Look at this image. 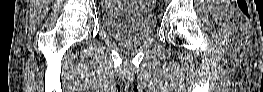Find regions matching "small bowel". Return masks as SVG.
Returning <instances> with one entry per match:
<instances>
[{
	"label": "small bowel",
	"mask_w": 263,
	"mask_h": 92,
	"mask_svg": "<svg viewBox=\"0 0 263 92\" xmlns=\"http://www.w3.org/2000/svg\"><path fill=\"white\" fill-rule=\"evenodd\" d=\"M148 7V3L144 4V8H147Z\"/></svg>",
	"instance_id": "obj_1"
}]
</instances>
